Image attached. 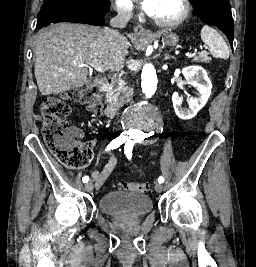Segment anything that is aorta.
<instances>
[{"instance_id": "762f6f07", "label": "aorta", "mask_w": 256, "mask_h": 267, "mask_svg": "<svg viewBox=\"0 0 256 267\" xmlns=\"http://www.w3.org/2000/svg\"><path fill=\"white\" fill-rule=\"evenodd\" d=\"M141 83L144 94H153L156 90V67L153 62H146L143 66ZM135 108H129L127 117H124L123 127H157V122H163V117H158V108H152V104H135ZM129 133H152V128H129ZM142 143H159V138H142Z\"/></svg>"}]
</instances>
